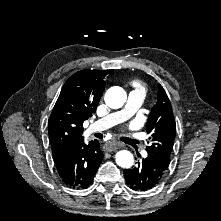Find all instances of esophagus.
<instances>
[{"label": "esophagus", "instance_id": "1", "mask_svg": "<svg viewBox=\"0 0 221 221\" xmlns=\"http://www.w3.org/2000/svg\"><path fill=\"white\" fill-rule=\"evenodd\" d=\"M104 148L107 151H114L117 150L119 148H121V144L120 143H115V142H106L104 145Z\"/></svg>", "mask_w": 221, "mask_h": 221}]
</instances>
